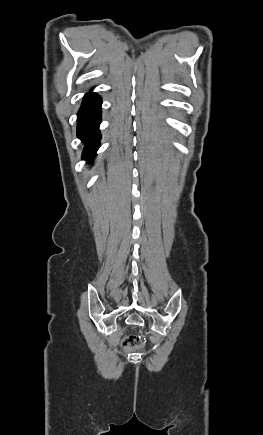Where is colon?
Here are the masks:
<instances>
[{"label": "colon", "mask_w": 263, "mask_h": 435, "mask_svg": "<svg viewBox=\"0 0 263 435\" xmlns=\"http://www.w3.org/2000/svg\"><path fill=\"white\" fill-rule=\"evenodd\" d=\"M137 344H138V339L134 335L126 336L122 341V346L124 349L135 347L137 346Z\"/></svg>", "instance_id": "obj_1"}]
</instances>
